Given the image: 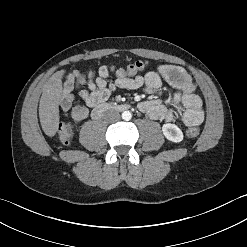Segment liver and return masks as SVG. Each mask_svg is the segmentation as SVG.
I'll return each instance as SVG.
<instances>
[{
  "mask_svg": "<svg viewBox=\"0 0 247 247\" xmlns=\"http://www.w3.org/2000/svg\"><path fill=\"white\" fill-rule=\"evenodd\" d=\"M65 71L53 74L43 88L39 103V118L44 133L53 137L59 124V102L63 95L62 77Z\"/></svg>",
  "mask_w": 247,
  "mask_h": 247,
  "instance_id": "liver-1",
  "label": "liver"
}]
</instances>
